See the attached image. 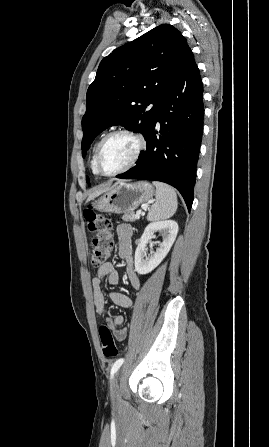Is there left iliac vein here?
I'll return each instance as SVG.
<instances>
[{
    "label": "left iliac vein",
    "instance_id": "1",
    "mask_svg": "<svg viewBox=\"0 0 269 447\" xmlns=\"http://www.w3.org/2000/svg\"><path fill=\"white\" fill-rule=\"evenodd\" d=\"M112 396H113L114 403H118L121 401L120 388H119L116 380H113V382H112Z\"/></svg>",
    "mask_w": 269,
    "mask_h": 447
}]
</instances>
